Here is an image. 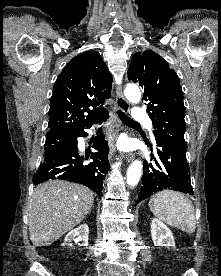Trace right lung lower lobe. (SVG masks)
<instances>
[{
	"instance_id": "1",
	"label": "right lung lower lobe",
	"mask_w": 221,
	"mask_h": 276,
	"mask_svg": "<svg viewBox=\"0 0 221 276\" xmlns=\"http://www.w3.org/2000/svg\"><path fill=\"white\" fill-rule=\"evenodd\" d=\"M109 117L106 111L99 122L102 123ZM93 123L86 128H90ZM85 129V128H84ZM88 134L81 130L74 135V143L69 149L56 151L45 155L40 168L33 176L34 185L43 183L49 179H62L75 183H81L98 195L102 194L103 180L109 171L108 153L109 147L105 136L98 130L96 138L93 141V148L97 152L86 155L85 158L79 155L76 138L87 136ZM91 158L93 161L85 163V160Z\"/></svg>"
}]
</instances>
